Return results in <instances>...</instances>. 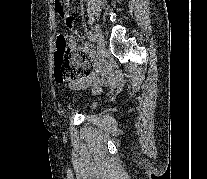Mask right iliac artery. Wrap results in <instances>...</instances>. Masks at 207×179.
Returning a JSON list of instances; mask_svg holds the SVG:
<instances>
[{
  "label": "right iliac artery",
  "instance_id": "82829eb1",
  "mask_svg": "<svg viewBox=\"0 0 207 179\" xmlns=\"http://www.w3.org/2000/svg\"><path fill=\"white\" fill-rule=\"evenodd\" d=\"M88 38H89L90 41L96 42L94 34L90 31L88 32ZM86 80H87V78H86Z\"/></svg>",
  "mask_w": 207,
  "mask_h": 179
}]
</instances>
